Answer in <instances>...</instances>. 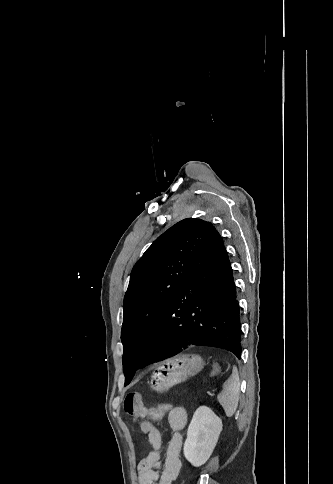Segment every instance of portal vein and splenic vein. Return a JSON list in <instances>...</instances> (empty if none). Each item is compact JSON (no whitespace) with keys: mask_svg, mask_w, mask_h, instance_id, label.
Masks as SVG:
<instances>
[{"mask_svg":"<svg viewBox=\"0 0 333 484\" xmlns=\"http://www.w3.org/2000/svg\"><path fill=\"white\" fill-rule=\"evenodd\" d=\"M214 391H215V390H210V391H207V394H208L209 396H213V395H214Z\"/></svg>","mask_w":333,"mask_h":484,"instance_id":"18ae733b","label":"portal vein and splenic vein"}]
</instances>
